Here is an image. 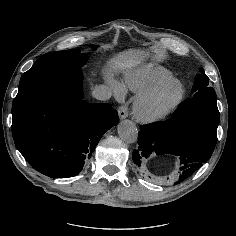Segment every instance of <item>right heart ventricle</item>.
Listing matches in <instances>:
<instances>
[{"mask_svg":"<svg viewBox=\"0 0 236 236\" xmlns=\"http://www.w3.org/2000/svg\"><path fill=\"white\" fill-rule=\"evenodd\" d=\"M173 78V73L155 63H143L126 71L123 78L125 89L140 93L144 89L164 80Z\"/></svg>","mask_w":236,"mask_h":236,"instance_id":"obj_1","label":"right heart ventricle"}]
</instances>
